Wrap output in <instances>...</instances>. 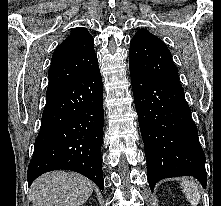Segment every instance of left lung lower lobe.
<instances>
[{"mask_svg":"<svg viewBox=\"0 0 221 206\" xmlns=\"http://www.w3.org/2000/svg\"><path fill=\"white\" fill-rule=\"evenodd\" d=\"M130 74L151 190L161 179L187 175L206 187V159L183 88Z\"/></svg>","mask_w":221,"mask_h":206,"instance_id":"left-lung-lower-lobe-1","label":"left lung lower lobe"}]
</instances>
